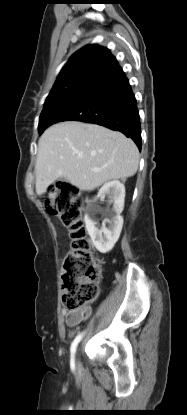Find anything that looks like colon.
<instances>
[{
  "mask_svg": "<svg viewBox=\"0 0 187 415\" xmlns=\"http://www.w3.org/2000/svg\"><path fill=\"white\" fill-rule=\"evenodd\" d=\"M83 196L69 182L54 184L45 202L46 211L58 217L71 236V249L64 264L62 301L65 308L76 311L94 301L99 293L101 260L91 252V244L82 219Z\"/></svg>",
  "mask_w": 187,
  "mask_h": 415,
  "instance_id": "1",
  "label": "colon"
}]
</instances>
